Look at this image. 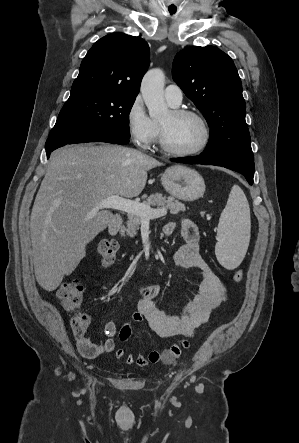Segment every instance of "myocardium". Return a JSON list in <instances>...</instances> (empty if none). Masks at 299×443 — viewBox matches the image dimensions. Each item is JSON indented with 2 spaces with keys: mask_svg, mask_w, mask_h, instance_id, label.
Returning <instances> with one entry per match:
<instances>
[{
  "mask_svg": "<svg viewBox=\"0 0 299 443\" xmlns=\"http://www.w3.org/2000/svg\"><path fill=\"white\" fill-rule=\"evenodd\" d=\"M171 112L178 117L191 116L196 118L202 125L203 139L196 148L191 150L179 151L171 149L165 143L164 131L162 126L159 124L158 147L161 150V152L168 156L179 157V158L192 157L202 153L209 145L211 139V129L207 119L200 112L192 109L178 108V109H173Z\"/></svg>",
  "mask_w": 299,
  "mask_h": 443,
  "instance_id": "1",
  "label": "myocardium"
}]
</instances>
